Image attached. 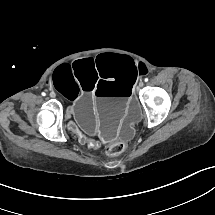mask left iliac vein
<instances>
[{
	"instance_id": "4c4485c4",
	"label": "left iliac vein",
	"mask_w": 215,
	"mask_h": 215,
	"mask_svg": "<svg viewBox=\"0 0 215 215\" xmlns=\"http://www.w3.org/2000/svg\"><path fill=\"white\" fill-rule=\"evenodd\" d=\"M144 83L141 81L139 82V87H143Z\"/></svg>"
}]
</instances>
